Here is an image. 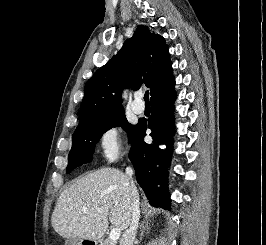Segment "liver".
<instances>
[{"label": "liver", "mask_w": 266, "mask_h": 245, "mask_svg": "<svg viewBox=\"0 0 266 245\" xmlns=\"http://www.w3.org/2000/svg\"><path fill=\"white\" fill-rule=\"evenodd\" d=\"M129 187L130 177L119 169H98L76 179L59 195L51 217L54 231L63 239L98 241L108 231L107 217L112 227L126 231L132 219Z\"/></svg>", "instance_id": "obj_1"}]
</instances>
